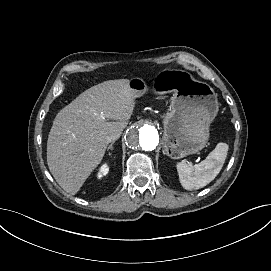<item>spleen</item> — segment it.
<instances>
[{
    "label": "spleen",
    "mask_w": 271,
    "mask_h": 271,
    "mask_svg": "<svg viewBox=\"0 0 271 271\" xmlns=\"http://www.w3.org/2000/svg\"><path fill=\"white\" fill-rule=\"evenodd\" d=\"M227 149V144L220 142L199 164L193 166L183 161L178 162L176 164L178 175L186 178L188 183H194L196 188L207 185L220 172L226 158Z\"/></svg>",
    "instance_id": "3e777b00"
}]
</instances>
